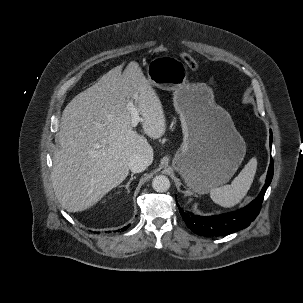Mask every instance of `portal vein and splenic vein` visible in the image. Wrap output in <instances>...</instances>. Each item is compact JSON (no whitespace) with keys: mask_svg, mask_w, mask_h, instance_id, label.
Segmentation results:
<instances>
[{"mask_svg":"<svg viewBox=\"0 0 303 303\" xmlns=\"http://www.w3.org/2000/svg\"><path fill=\"white\" fill-rule=\"evenodd\" d=\"M127 109L131 113V126L136 127L139 122L142 121V118L139 116L136 106L133 104V101L127 103Z\"/></svg>","mask_w":303,"mask_h":303,"instance_id":"18ae733b","label":"portal vein and splenic vein"}]
</instances>
